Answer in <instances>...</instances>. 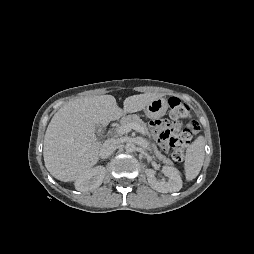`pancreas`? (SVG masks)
<instances>
[{"label": "pancreas", "instance_id": "pancreas-1", "mask_svg": "<svg viewBox=\"0 0 254 254\" xmlns=\"http://www.w3.org/2000/svg\"><path fill=\"white\" fill-rule=\"evenodd\" d=\"M129 123H136V124H138V125L144 130V132H145L146 134H148V129H147L146 123H144V121H142V119H140L139 116H137V115H128V116H124V117L120 120V126H119V127H121V126H123V125H125V124H129ZM119 127H117V129H118ZM151 147H152V149H153L155 155L157 156V158H158L159 160H162L164 163H167V164H171V163H172L170 159L166 158V156L162 155V154L158 151V149H157V147H156L155 144H152Z\"/></svg>", "mask_w": 254, "mask_h": 254}]
</instances>
